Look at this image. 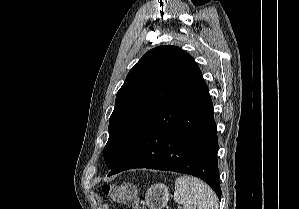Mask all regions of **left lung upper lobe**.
<instances>
[{
	"mask_svg": "<svg viewBox=\"0 0 299 209\" xmlns=\"http://www.w3.org/2000/svg\"><path fill=\"white\" fill-rule=\"evenodd\" d=\"M201 73L193 57L179 47L151 49L132 67L116 95L103 155L114 168L154 114Z\"/></svg>",
	"mask_w": 299,
	"mask_h": 209,
	"instance_id": "5c2ea615",
	"label": "left lung upper lobe"
}]
</instances>
